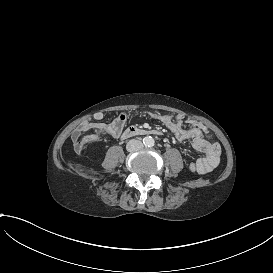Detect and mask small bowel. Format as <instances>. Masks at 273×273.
Returning <instances> with one entry per match:
<instances>
[{
	"label": "small bowel",
	"mask_w": 273,
	"mask_h": 273,
	"mask_svg": "<svg viewBox=\"0 0 273 273\" xmlns=\"http://www.w3.org/2000/svg\"><path fill=\"white\" fill-rule=\"evenodd\" d=\"M155 120L170 130L179 141L190 139L192 146L198 152L204 154V158L199 159L196 171L199 174H206L212 171L219 163L221 147L217 142L206 138V127L195 119L184 114H149ZM104 114L96 112L93 115L94 127L88 131L86 142L95 141L101 133H107L114 137H119L129 121L126 113H119L111 122L103 121Z\"/></svg>",
	"instance_id": "1"
}]
</instances>
